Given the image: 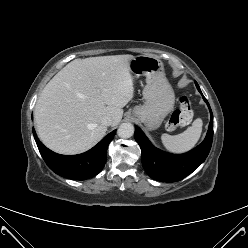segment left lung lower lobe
Segmentation results:
<instances>
[{"label": "left lung lower lobe", "mask_w": 248, "mask_h": 248, "mask_svg": "<svg viewBox=\"0 0 248 248\" xmlns=\"http://www.w3.org/2000/svg\"><path fill=\"white\" fill-rule=\"evenodd\" d=\"M197 89L202 94L198 84ZM203 96V95H202ZM210 123L206 138L196 148L184 154H171L155 148L138 126H135V140L141 148L142 164L153 179L163 182L179 181L196 170L209 154L213 139V115L209 103Z\"/></svg>", "instance_id": "left-lung-lower-lobe-1"}]
</instances>
